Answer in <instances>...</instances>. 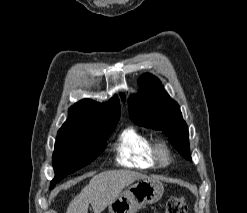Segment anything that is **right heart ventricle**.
<instances>
[{"label":"right heart ventricle","instance_id":"obj_1","mask_svg":"<svg viewBox=\"0 0 247 213\" xmlns=\"http://www.w3.org/2000/svg\"><path fill=\"white\" fill-rule=\"evenodd\" d=\"M151 138L134 127L123 129L115 145L116 161L121 166L136 170L159 167L152 153Z\"/></svg>","mask_w":247,"mask_h":213}]
</instances>
